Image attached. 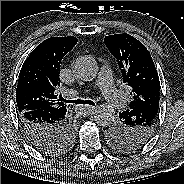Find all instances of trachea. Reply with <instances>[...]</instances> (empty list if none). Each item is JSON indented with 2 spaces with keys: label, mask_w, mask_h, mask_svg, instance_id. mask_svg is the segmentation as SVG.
<instances>
[{
  "label": "trachea",
  "mask_w": 184,
  "mask_h": 184,
  "mask_svg": "<svg viewBox=\"0 0 184 184\" xmlns=\"http://www.w3.org/2000/svg\"><path fill=\"white\" fill-rule=\"evenodd\" d=\"M59 99L65 103H70V104H88L94 106L95 103L91 100H82V99H77V100H67L64 99L62 96H59Z\"/></svg>",
  "instance_id": "3493384b"
}]
</instances>
